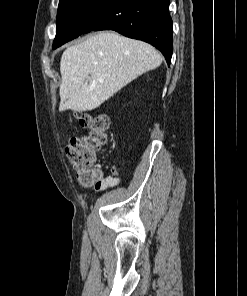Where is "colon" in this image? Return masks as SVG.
I'll list each match as a JSON object with an SVG mask.
<instances>
[{
	"instance_id": "5ec220e1",
	"label": "colon",
	"mask_w": 247,
	"mask_h": 296,
	"mask_svg": "<svg viewBox=\"0 0 247 296\" xmlns=\"http://www.w3.org/2000/svg\"><path fill=\"white\" fill-rule=\"evenodd\" d=\"M77 120L88 133L71 139L66 149L67 157L82 186L101 184L103 175L102 170L97 166V160L108 141L109 121L106 116L95 113L78 114Z\"/></svg>"
}]
</instances>
